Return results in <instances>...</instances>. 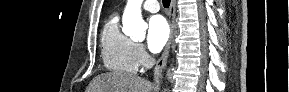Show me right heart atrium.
Segmentation results:
<instances>
[{
  "label": "right heart atrium",
  "mask_w": 289,
  "mask_h": 92,
  "mask_svg": "<svg viewBox=\"0 0 289 92\" xmlns=\"http://www.w3.org/2000/svg\"><path fill=\"white\" fill-rule=\"evenodd\" d=\"M135 57L139 66H144L148 62V55L141 44H135Z\"/></svg>",
  "instance_id": "right-heart-atrium-1"
}]
</instances>
